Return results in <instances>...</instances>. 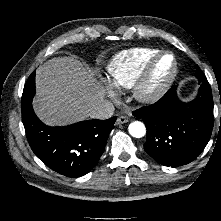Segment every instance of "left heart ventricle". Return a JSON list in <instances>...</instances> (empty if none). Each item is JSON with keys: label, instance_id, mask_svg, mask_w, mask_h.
Wrapping results in <instances>:
<instances>
[{"label": "left heart ventricle", "instance_id": "left-heart-ventricle-1", "mask_svg": "<svg viewBox=\"0 0 221 221\" xmlns=\"http://www.w3.org/2000/svg\"><path fill=\"white\" fill-rule=\"evenodd\" d=\"M173 66V61L170 56L163 57L156 66L152 78V85H158L164 81L170 74Z\"/></svg>", "mask_w": 221, "mask_h": 221}]
</instances>
